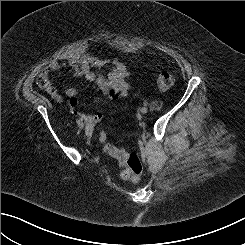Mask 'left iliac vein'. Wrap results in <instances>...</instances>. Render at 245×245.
Masks as SVG:
<instances>
[{
  "label": "left iliac vein",
  "instance_id": "4c4485c4",
  "mask_svg": "<svg viewBox=\"0 0 245 245\" xmlns=\"http://www.w3.org/2000/svg\"><path fill=\"white\" fill-rule=\"evenodd\" d=\"M140 112L142 114H146L148 112V108L147 107H142V108H140Z\"/></svg>",
  "mask_w": 245,
  "mask_h": 245
}]
</instances>
